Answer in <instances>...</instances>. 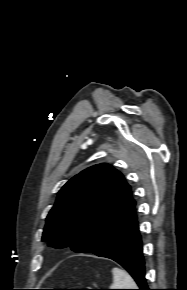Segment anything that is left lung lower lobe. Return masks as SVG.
I'll return each instance as SVG.
<instances>
[{"mask_svg": "<svg viewBox=\"0 0 187 290\" xmlns=\"http://www.w3.org/2000/svg\"><path fill=\"white\" fill-rule=\"evenodd\" d=\"M134 202L129 212L91 253L112 259L134 278L139 290H150L145 279V263Z\"/></svg>", "mask_w": 187, "mask_h": 290, "instance_id": "left-lung-lower-lobe-1", "label": "left lung lower lobe"}]
</instances>
